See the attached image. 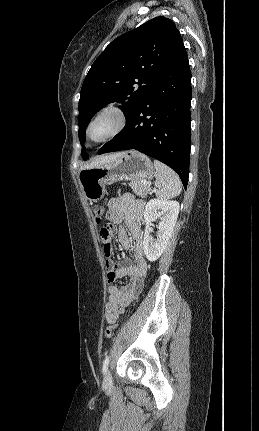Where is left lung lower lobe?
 <instances>
[{"mask_svg": "<svg viewBox=\"0 0 259 431\" xmlns=\"http://www.w3.org/2000/svg\"><path fill=\"white\" fill-rule=\"evenodd\" d=\"M191 72L184 44L162 70L123 130L98 153L135 149L178 173L186 189L190 162Z\"/></svg>", "mask_w": 259, "mask_h": 431, "instance_id": "1", "label": "left lung lower lobe"}]
</instances>
